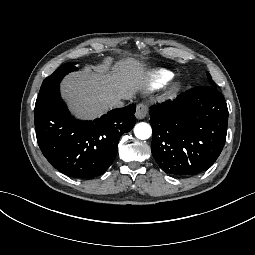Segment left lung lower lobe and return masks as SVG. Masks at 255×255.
<instances>
[{
    "label": "left lung lower lobe",
    "instance_id": "obj_1",
    "mask_svg": "<svg viewBox=\"0 0 255 255\" xmlns=\"http://www.w3.org/2000/svg\"><path fill=\"white\" fill-rule=\"evenodd\" d=\"M152 154L164 172L193 176L207 170L226 140L228 108L216 87H196L150 107Z\"/></svg>",
    "mask_w": 255,
    "mask_h": 255
}]
</instances>
